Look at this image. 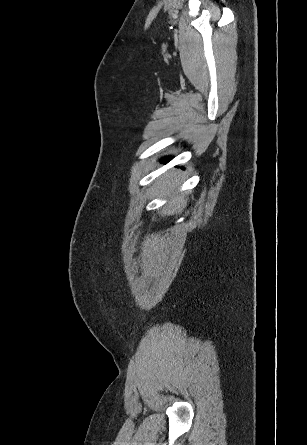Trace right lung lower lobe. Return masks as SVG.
Instances as JSON below:
<instances>
[{
  "mask_svg": "<svg viewBox=\"0 0 307 445\" xmlns=\"http://www.w3.org/2000/svg\"><path fill=\"white\" fill-rule=\"evenodd\" d=\"M170 159H171L170 157H166V158L162 159L161 162L166 163V162H168Z\"/></svg>",
  "mask_w": 307,
  "mask_h": 445,
  "instance_id": "98d812e1",
  "label": "right lung lower lobe"
}]
</instances>
